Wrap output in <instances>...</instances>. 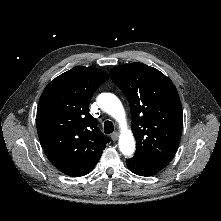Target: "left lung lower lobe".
Returning a JSON list of instances; mask_svg holds the SVG:
<instances>
[{
  "instance_id": "left-lung-lower-lobe-1",
  "label": "left lung lower lobe",
  "mask_w": 221,
  "mask_h": 221,
  "mask_svg": "<svg viewBox=\"0 0 221 221\" xmlns=\"http://www.w3.org/2000/svg\"><path fill=\"white\" fill-rule=\"evenodd\" d=\"M126 164L133 173L139 176H151L164 168L134 157L127 159Z\"/></svg>"
}]
</instances>
